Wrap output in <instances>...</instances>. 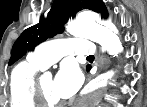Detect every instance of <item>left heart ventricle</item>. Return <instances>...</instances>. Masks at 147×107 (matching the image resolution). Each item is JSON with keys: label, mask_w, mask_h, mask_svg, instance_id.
<instances>
[{"label": "left heart ventricle", "mask_w": 147, "mask_h": 107, "mask_svg": "<svg viewBox=\"0 0 147 107\" xmlns=\"http://www.w3.org/2000/svg\"><path fill=\"white\" fill-rule=\"evenodd\" d=\"M42 89L46 98L52 102H60L63 99L60 98L54 91V79L51 76H44L41 79Z\"/></svg>", "instance_id": "obj_1"}]
</instances>
